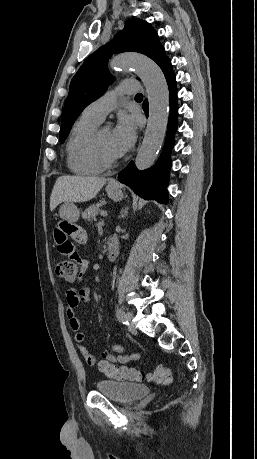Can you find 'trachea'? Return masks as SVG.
I'll return each mask as SVG.
<instances>
[{"mask_svg": "<svg viewBox=\"0 0 257 459\" xmlns=\"http://www.w3.org/2000/svg\"><path fill=\"white\" fill-rule=\"evenodd\" d=\"M135 98H143V95L141 93L136 94Z\"/></svg>", "mask_w": 257, "mask_h": 459, "instance_id": "obj_1", "label": "trachea"}]
</instances>
